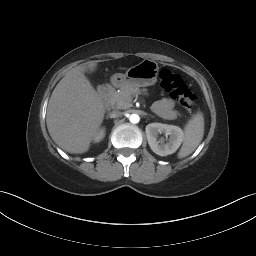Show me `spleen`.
Masks as SVG:
<instances>
[{
    "label": "spleen",
    "mask_w": 256,
    "mask_h": 256,
    "mask_svg": "<svg viewBox=\"0 0 256 256\" xmlns=\"http://www.w3.org/2000/svg\"><path fill=\"white\" fill-rule=\"evenodd\" d=\"M204 135V116L201 112L196 113L185 126L183 145L178 153L182 159L190 155L200 144Z\"/></svg>",
    "instance_id": "1"
}]
</instances>
